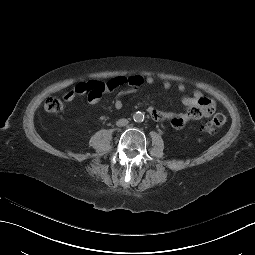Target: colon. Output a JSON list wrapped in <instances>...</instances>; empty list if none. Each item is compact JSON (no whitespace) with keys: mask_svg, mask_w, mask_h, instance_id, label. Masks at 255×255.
<instances>
[{"mask_svg":"<svg viewBox=\"0 0 255 255\" xmlns=\"http://www.w3.org/2000/svg\"><path fill=\"white\" fill-rule=\"evenodd\" d=\"M64 104L61 99L56 97H50L45 102V110L50 114H55L62 111ZM226 122V117L222 113H216L210 120L205 122L201 131L207 134L215 133L220 127H222Z\"/></svg>","mask_w":255,"mask_h":255,"instance_id":"1","label":"colon"}]
</instances>
